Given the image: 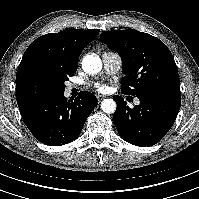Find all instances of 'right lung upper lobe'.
<instances>
[{
    "label": "right lung upper lobe",
    "instance_id": "1",
    "mask_svg": "<svg viewBox=\"0 0 199 199\" xmlns=\"http://www.w3.org/2000/svg\"><path fill=\"white\" fill-rule=\"evenodd\" d=\"M99 29H67L37 38L25 51L16 81L23 70L38 65L50 71L74 75L82 50L94 40Z\"/></svg>",
    "mask_w": 199,
    "mask_h": 199
}]
</instances>
